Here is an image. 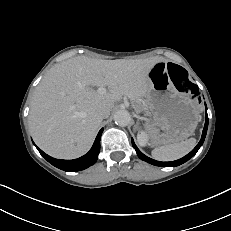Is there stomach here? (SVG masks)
<instances>
[{
	"mask_svg": "<svg viewBox=\"0 0 231 231\" xmlns=\"http://www.w3.org/2000/svg\"><path fill=\"white\" fill-rule=\"evenodd\" d=\"M146 95L150 120L146 129L153 146L178 143L193 134L200 121L199 104L190 94L179 91L171 80L167 63L158 62L148 72Z\"/></svg>",
	"mask_w": 231,
	"mask_h": 231,
	"instance_id": "stomach-1",
	"label": "stomach"
}]
</instances>
